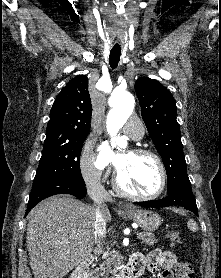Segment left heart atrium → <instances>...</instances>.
Returning <instances> with one entry per match:
<instances>
[{
    "label": "left heart atrium",
    "instance_id": "39dd6f15",
    "mask_svg": "<svg viewBox=\"0 0 221 278\" xmlns=\"http://www.w3.org/2000/svg\"><path fill=\"white\" fill-rule=\"evenodd\" d=\"M122 158L120 154H113L108 145L104 144L100 148V163H112L117 168L120 166Z\"/></svg>",
    "mask_w": 221,
    "mask_h": 278
}]
</instances>
